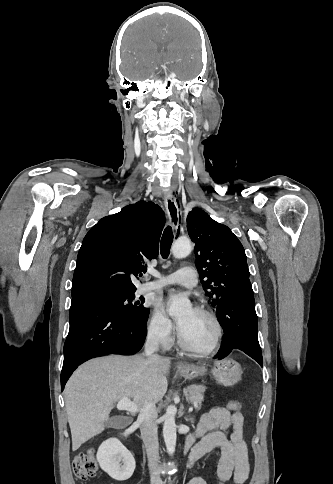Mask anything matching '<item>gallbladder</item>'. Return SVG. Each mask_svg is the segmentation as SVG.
<instances>
[{
  "instance_id": "bac80fb5",
  "label": "gallbladder",
  "mask_w": 333,
  "mask_h": 484,
  "mask_svg": "<svg viewBox=\"0 0 333 484\" xmlns=\"http://www.w3.org/2000/svg\"><path fill=\"white\" fill-rule=\"evenodd\" d=\"M121 416H113L108 421H106L105 426L107 428L117 429L121 427Z\"/></svg>"
}]
</instances>
